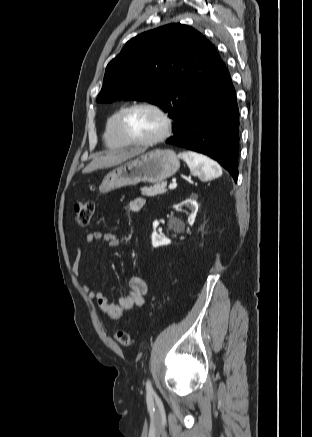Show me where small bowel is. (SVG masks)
<instances>
[{"label": "small bowel", "instance_id": "obj_1", "mask_svg": "<svg viewBox=\"0 0 312 437\" xmlns=\"http://www.w3.org/2000/svg\"><path fill=\"white\" fill-rule=\"evenodd\" d=\"M145 205V200L142 197L133 198L129 204L128 209L132 212L140 211ZM95 240H102L110 248L119 247L121 244L120 239L108 232L97 231L86 235V243L91 244ZM79 254L80 249L77 251V256L73 264V271L78 274L79 270ZM128 294L119 300L118 303H112L108 297L100 290L91 288L88 285L84 286L86 294L94 299L100 309V311L110 317L111 319L118 320L127 311H134L142 309L145 306V296L148 292L146 281L139 276H134L129 282Z\"/></svg>", "mask_w": 312, "mask_h": 437}]
</instances>
